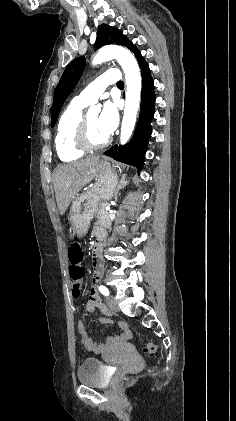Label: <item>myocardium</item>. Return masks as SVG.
<instances>
[{"mask_svg":"<svg viewBox=\"0 0 236 421\" xmlns=\"http://www.w3.org/2000/svg\"><path fill=\"white\" fill-rule=\"evenodd\" d=\"M73 141L82 152H90L106 147L110 143L111 137L107 136L103 142L98 144L91 143L87 136V115H82L75 125Z\"/></svg>","mask_w":236,"mask_h":421,"instance_id":"obj_1","label":"myocardium"}]
</instances>
